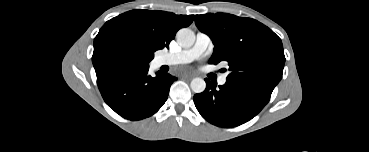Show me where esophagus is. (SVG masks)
Here are the masks:
<instances>
[{"mask_svg": "<svg viewBox=\"0 0 369 152\" xmlns=\"http://www.w3.org/2000/svg\"><path fill=\"white\" fill-rule=\"evenodd\" d=\"M195 75L194 74H184L182 76L183 79H192Z\"/></svg>", "mask_w": 369, "mask_h": 152, "instance_id": "obj_1", "label": "esophagus"}]
</instances>
